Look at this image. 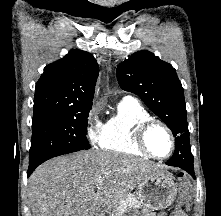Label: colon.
<instances>
[{"label": "colon", "instance_id": "5ec220e1", "mask_svg": "<svg viewBox=\"0 0 221 216\" xmlns=\"http://www.w3.org/2000/svg\"><path fill=\"white\" fill-rule=\"evenodd\" d=\"M184 178V176H182ZM191 202V192L190 185L188 182H184L180 189L179 205L181 207H186Z\"/></svg>", "mask_w": 221, "mask_h": 216}]
</instances>
